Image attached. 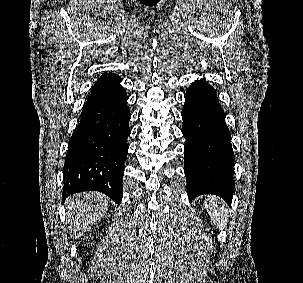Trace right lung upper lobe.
Returning <instances> with one entry per match:
<instances>
[{
  "mask_svg": "<svg viewBox=\"0 0 303 283\" xmlns=\"http://www.w3.org/2000/svg\"><path fill=\"white\" fill-rule=\"evenodd\" d=\"M113 73H109V74H107V73H105V74H103L102 76H100L99 78H98V80L99 79H102V78H105V77H107V76H109V75H112Z\"/></svg>",
  "mask_w": 303,
  "mask_h": 283,
  "instance_id": "right-lung-upper-lobe-1",
  "label": "right lung upper lobe"
}]
</instances>
